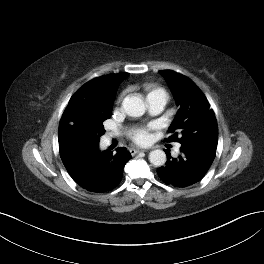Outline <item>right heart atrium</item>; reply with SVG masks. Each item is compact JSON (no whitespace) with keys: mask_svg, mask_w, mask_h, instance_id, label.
<instances>
[{"mask_svg":"<svg viewBox=\"0 0 264 264\" xmlns=\"http://www.w3.org/2000/svg\"><path fill=\"white\" fill-rule=\"evenodd\" d=\"M122 99V96L119 98V100H121Z\"/></svg>","mask_w":264,"mask_h":264,"instance_id":"1","label":"right heart atrium"}]
</instances>
